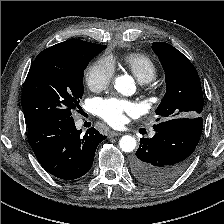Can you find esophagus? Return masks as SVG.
Wrapping results in <instances>:
<instances>
[{"instance_id": "obj_1", "label": "esophagus", "mask_w": 224, "mask_h": 224, "mask_svg": "<svg viewBox=\"0 0 224 224\" xmlns=\"http://www.w3.org/2000/svg\"><path fill=\"white\" fill-rule=\"evenodd\" d=\"M119 135H121L120 132L111 131V132L109 133V137H116V136H119Z\"/></svg>"}]
</instances>
